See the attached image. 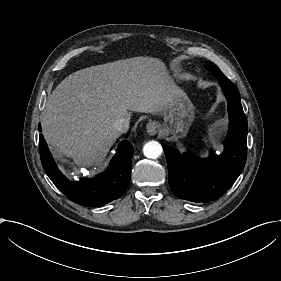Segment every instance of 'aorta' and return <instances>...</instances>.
<instances>
[{
    "instance_id": "obj_1",
    "label": "aorta",
    "mask_w": 281,
    "mask_h": 281,
    "mask_svg": "<svg viewBox=\"0 0 281 281\" xmlns=\"http://www.w3.org/2000/svg\"><path fill=\"white\" fill-rule=\"evenodd\" d=\"M163 152L162 146L157 141H149L143 147L145 157L150 159L158 158Z\"/></svg>"
}]
</instances>
